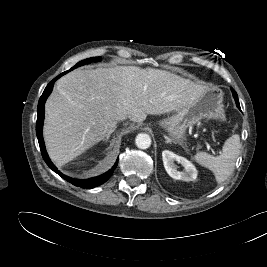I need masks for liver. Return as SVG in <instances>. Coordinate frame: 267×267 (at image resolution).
Masks as SVG:
<instances>
[{
    "label": "liver",
    "instance_id": "liver-1",
    "mask_svg": "<svg viewBox=\"0 0 267 267\" xmlns=\"http://www.w3.org/2000/svg\"><path fill=\"white\" fill-rule=\"evenodd\" d=\"M207 90L153 68L74 70L57 81L45 104L43 136L48 154L64 165L110 135L119 116L141 123L148 114L190 105Z\"/></svg>",
    "mask_w": 267,
    "mask_h": 267
}]
</instances>
